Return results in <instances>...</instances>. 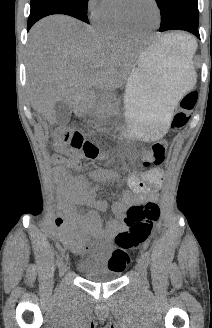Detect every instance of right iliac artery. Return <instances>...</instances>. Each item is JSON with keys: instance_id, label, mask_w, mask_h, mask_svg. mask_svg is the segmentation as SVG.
<instances>
[{"instance_id": "82829eb1", "label": "right iliac artery", "mask_w": 212, "mask_h": 328, "mask_svg": "<svg viewBox=\"0 0 212 328\" xmlns=\"http://www.w3.org/2000/svg\"><path fill=\"white\" fill-rule=\"evenodd\" d=\"M62 263H63V258L61 255H58L56 259L57 266L60 267Z\"/></svg>"}]
</instances>
